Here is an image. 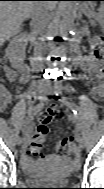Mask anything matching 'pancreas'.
I'll list each match as a JSON object with an SVG mask.
<instances>
[{"instance_id": "obj_1", "label": "pancreas", "mask_w": 104, "mask_h": 189, "mask_svg": "<svg viewBox=\"0 0 104 189\" xmlns=\"http://www.w3.org/2000/svg\"><path fill=\"white\" fill-rule=\"evenodd\" d=\"M87 15H88V17H92L94 20H98V18H99L98 14L88 13ZM92 23H94V21H92Z\"/></svg>"}]
</instances>
